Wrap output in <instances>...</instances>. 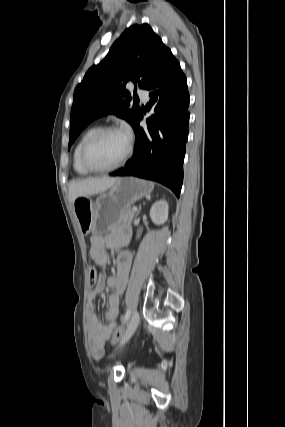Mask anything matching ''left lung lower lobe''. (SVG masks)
Wrapping results in <instances>:
<instances>
[{
    "label": "left lung lower lobe",
    "instance_id": "0a47b994",
    "mask_svg": "<svg viewBox=\"0 0 285 427\" xmlns=\"http://www.w3.org/2000/svg\"><path fill=\"white\" fill-rule=\"evenodd\" d=\"M148 110L155 114L147 119V128L137 119L135 154L124 168L112 176H137L169 187L177 197L183 182V161L188 137L189 94L186 77L170 52L152 82Z\"/></svg>",
    "mask_w": 285,
    "mask_h": 427
}]
</instances>
